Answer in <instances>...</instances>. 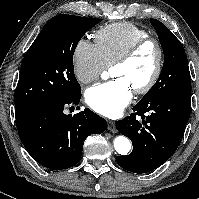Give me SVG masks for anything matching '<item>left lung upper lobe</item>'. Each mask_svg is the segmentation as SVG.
Returning <instances> with one entry per match:
<instances>
[{
	"label": "left lung upper lobe",
	"mask_w": 199,
	"mask_h": 199,
	"mask_svg": "<svg viewBox=\"0 0 199 199\" xmlns=\"http://www.w3.org/2000/svg\"><path fill=\"white\" fill-rule=\"evenodd\" d=\"M164 52L159 79L137 105L159 102L172 96H191V76L185 50L175 35L160 21L150 19Z\"/></svg>",
	"instance_id": "5c2ea615"
}]
</instances>
